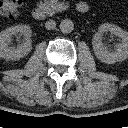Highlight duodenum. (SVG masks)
<instances>
[{
    "instance_id": "1",
    "label": "duodenum",
    "mask_w": 128,
    "mask_h": 128,
    "mask_svg": "<svg viewBox=\"0 0 128 128\" xmlns=\"http://www.w3.org/2000/svg\"><path fill=\"white\" fill-rule=\"evenodd\" d=\"M76 10L79 13H86L89 10V6L86 2H79L76 5ZM32 16L37 20H44L47 18L48 14L46 9L43 6H37L32 11Z\"/></svg>"
}]
</instances>
